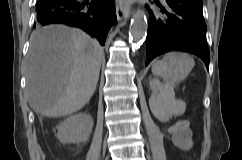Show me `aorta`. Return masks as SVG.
Returning a JSON list of instances; mask_svg holds the SVG:
<instances>
[{
  "label": "aorta",
  "mask_w": 242,
  "mask_h": 160,
  "mask_svg": "<svg viewBox=\"0 0 242 160\" xmlns=\"http://www.w3.org/2000/svg\"><path fill=\"white\" fill-rule=\"evenodd\" d=\"M148 23L144 10H137L133 15L129 35L135 44H139L147 33Z\"/></svg>",
  "instance_id": "762f6f07"
}]
</instances>
